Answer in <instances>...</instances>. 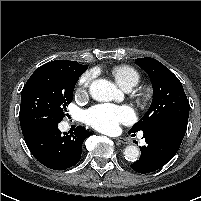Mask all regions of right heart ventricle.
Listing matches in <instances>:
<instances>
[{"label":"right heart ventricle","mask_w":201,"mask_h":201,"mask_svg":"<svg viewBox=\"0 0 201 201\" xmlns=\"http://www.w3.org/2000/svg\"><path fill=\"white\" fill-rule=\"evenodd\" d=\"M111 75L116 83L128 90L136 86L140 80L138 71L129 65H118L111 69Z\"/></svg>","instance_id":"e07e8e85"}]
</instances>
